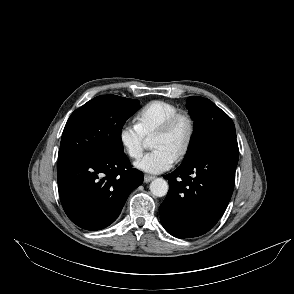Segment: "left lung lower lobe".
I'll return each instance as SVG.
<instances>
[{
    "instance_id": "left-lung-lower-lobe-1",
    "label": "left lung lower lobe",
    "mask_w": 294,
    "mask_h": 294,
    "mask_svg": "<svg viewBox=\"0 0 294 294\" xmlns=\"http://www.w3.org/2000/svg\"><path fill=\"white\" fill-rule=\"evenodd\" d=\"M238 156L236 138H226L165 176L169 191L160 219L168 233L197 237L215 226L233 193Z\"/></svg>"
}]
</instances>
